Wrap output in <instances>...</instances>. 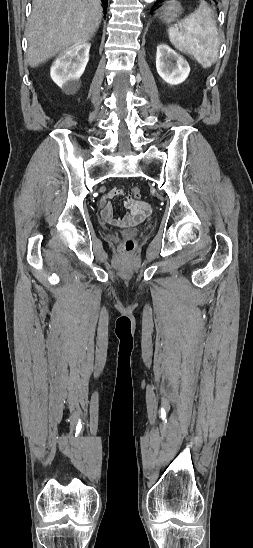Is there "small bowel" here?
I'll use <instances>...</instances> for the list:
<instances>
[{"mask_svg": "<svg viewBox=\"0 0 253 548\" xmlns=\"http://www.w3.org/2000/svg\"><path fill=\"white\" fill-rule=\"evenodd\" d=\"M124 190L121 188H113L108 191L100 200V214L102 219L115 226H131L138 224L144 220L151 212V205L146 201H136L130 196H127L124 201V206L127 210V213L124 217L116 218L113 215V208L110 203V200L123 195Z\"/></svg>", "mask_w": 253, "mask_h": 548, "instance_id": "obj_1", "label": "small bowel"}]
</instances>
